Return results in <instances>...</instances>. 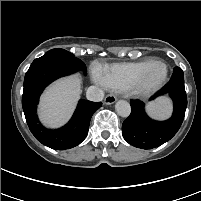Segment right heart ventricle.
<instances>
[{
  "label": "right heart ventricle",
  "instance_id": "1",
  "mask_svg": "<svg viewBox=\"0 0 201 201\" xmlns=\"http://www.w3.org/2000/svg\"><path fill=\"white\" fill-rule=\"evenodd\" d=\"M155 60L146 59L137 62L116 63L104 67L102 75L106 87L114 91L130 89L140 74Z\"/></svg>",
  "mask_w": 201,
  "mask_h": 201
}]
</instances>
